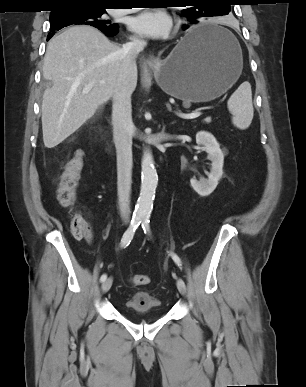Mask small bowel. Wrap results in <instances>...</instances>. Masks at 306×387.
<instances>
[{"mask_svg": "<svg viewBox=\"0 0 306 387\" xmlns=\"http://www.w3.org/2000/svg\"><path fill=\"white\" fill-rule=\"evenodd\" d=\"M92 238H93L92 232L89 231V233L85 236V240L90 243L92 241Z\"/></svg>", "mask_w": 306, "mask_h": 387, "instance_id": "c3829d8e", "label": "small bowel"}]
</instances>
